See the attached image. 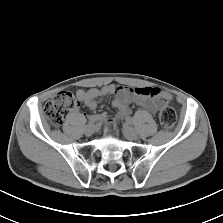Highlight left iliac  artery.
I'll return each instance as SVG.
<instances>
[{
  "mask_svg": "<svg viewBox=\"0 0 223 223\" xmlns=\"http://www.w3.org/2000/svg\"><path fill=\"white\" fill-rule=\"evenodd\" d=\"M127 122H128L129 124H133V125H135V121H134L133 118H128V119H127Z\"/></svg>",
  "mask_w": 223,
  "mask_h": 223,
  "instance_id": "obj_1",
  "label": "left iliac artery"
}]
</instances>
